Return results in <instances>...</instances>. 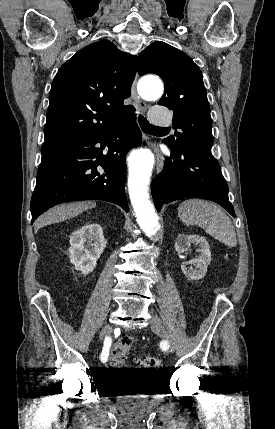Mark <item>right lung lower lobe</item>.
Here are the masks:
<instances>
[{
    "mask_svg": "<svg viewBox=\"0 0 275 429\" xmlns=\"http://www.w3.org/2000/svg\"><path fill=\"white\" fill-rule=\"evenodd\" d=\"M134 119L42 154L31 198L32 223L49 208L77 200L109 201L128 212L126 155L142 140Z\"/></svg>",
    "mask_w": 275,
    "mask_h": 429,
    "instance_id": "obj_1",
    "label": "right lung lower lobe"
}]
</instances>
